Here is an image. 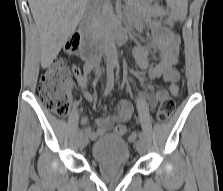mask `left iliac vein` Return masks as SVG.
I'll use <instances>...</instances> for the list:
<instances>
[{"instance_id":"1","label":"left iliac vein","mask_w":223,"mask_h":191,"mask_svg":"<svg viewBox=\"0 0 223 191\" xmlns=\"http://www.w3.org/2000/svg\"><path fill=\"white\" fill-rule=\"evenodd\" d=\"M136 150L137 152L142 155L145 153V142L144 140L142 139H139L137 142H136Z\"/></svg>"}]
</instances>
